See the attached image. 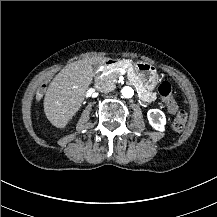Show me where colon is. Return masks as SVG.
<instances>
[{
  "label": "colon",
  "mask_w": 217,
  "mask_h": 217,
  "mask_svg": "<svg viewBox=\"0 0 217 217\" xmlns=\"http://www.w3.org/2000/svg\"><path fill=\"white\" fill-rule=\"evenodd\" d=\"M158 93L166 102L168 110L174 113L173 128L176 131H181L185 128L188 115L184 107L178 106L176 101L172 98V86L169 81H162L158 85Z\"/></svg>",
  "instance_id": "colon-1"
}]
</instances>
